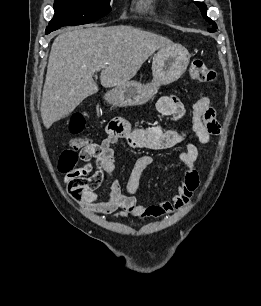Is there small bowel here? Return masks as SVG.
<instances>
[{"mask_svg": "<svg viewBox=\"0 0 261 306\" xmlns=\"http://www.w3.org/2000/svg\"><path fill=\"white\" fill-rule=\"evenodd\" d=\"M157 111L165 116H171L176 120L182 119L186 114L183 102L176 96H163L156 105ZM107 136L100 146L104 152V159L98 171H93L90 158L80 156L87 164L78 169L81 175L93 184V187L85 189L81 194L83 206L97 215H111L126 218L134 217H159L165 214L182 210L186 207L199 185V177L196 163L203 158L197 145L188 135L192 132L202 145L208 144L212 136L220 133V126L215 117V110L210 105L208 97H199L191 109V124L189 128L164 129L160 125L149 128H136L123 119L112 120L107 126ZM120 139H124L132 149H167L180 142L185 143V149L179 153V160L187 171L177 191L170 200L159 201L155 205L146 206L140 203L135 193L139 187L143 172L153 164V158L149 155L140 157L126 182L127 194L123 193L120 181L113 182L108 197L100 201L98 188L104 178L110 177L115 170V152L113 145Z\"/></svg>", "mask_w": 261, "mask_h": 306, "instance_id": "c3829d8e", "label": "small bowel"}]
</instances>
